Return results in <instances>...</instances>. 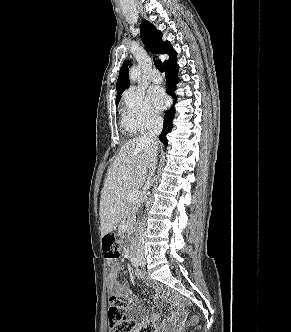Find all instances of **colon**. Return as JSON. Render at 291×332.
Listing matches in <instances>:
<instances>
[{"instance_id": "colon-1", "label": "colon", "mask_w": 291, "mask_h": 332, "mask_svg": "<svg viewBox=\"0 0 291 332\" xmlns=\"http://www.w3.org/2000/svg\"><path fill=\"white\" fill-rule=\"evenodd\" d=\"M122 240L116 234H106L103 237V250L106 258L116 260L120 256ZM108 320L110 332H156V326L152 322H147L139 327L129 322L125 318V311L128 305L127 299L116 294L109 299ZM182 306V305H181Z\"/></svg>"}]
</instances>
